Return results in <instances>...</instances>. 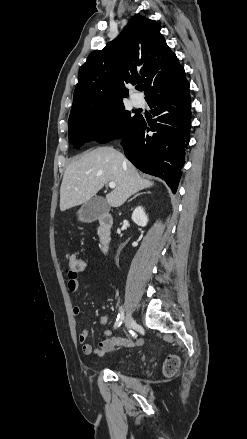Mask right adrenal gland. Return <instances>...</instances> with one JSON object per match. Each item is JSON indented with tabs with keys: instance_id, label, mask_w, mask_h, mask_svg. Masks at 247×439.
<instances>
[{
	"instance_id": "right-adrenal-gland-1",
	"label": "right adrenal gland",
	"mask_w": 247,
	"mask_h": 439,
	"mask_svg": "<svg viewBox=\"0 0 247 439\" xmlns=\"http://www.w3.org/2000/svg\"><path fill=\"white\" fill-rule=\"evenodd\" d=\"M143 194H150V191L142 192V193L136 194V195L133 196L130 200H128V202L132 201L133 199H135V198H137L138 196L143 195Z\"/></svg>"
}]
</instances>
